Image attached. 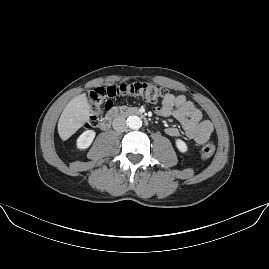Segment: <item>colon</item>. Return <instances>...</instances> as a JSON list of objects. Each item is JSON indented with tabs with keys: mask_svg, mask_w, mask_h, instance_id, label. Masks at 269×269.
Returning a JSON list of instances; mask_svg holds the SVG:
<instances>
[{
	"mask_svg": "<svg viewBox=\"0 0 269 269\" xmlns=\"http://www.w3.org/2000/svg\"><path fill=\"white\" fill-rule=\"evenodd\" d=\"M169 94L167 87L151 82H133L119 85L99 86L90 90L89 104L91 106V116L89 123H85V128L90 127L100 119V115L106 110L104 103L106 100L131 95L142 99L147 103H157L164 101ZM215 153V145L212 142L205 143L201 149V158L209 159Z\"/></svg>",
	"mask_w": 269,
	"mask_h": 269,
	"instance_id": "5ec220e1",
	"label": "colon"
}]
</instances>
